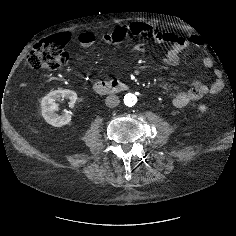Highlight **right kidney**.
<instances>
[{
  "instance_id": "right-kidney-1",
  "label": "right kidney",
  "mask_w": 236,
  "mask_h": 236,
  "mask_svg": "<svg viewBox=\"0 0 236 236\" xmlns=\"http://www.w3.org/2000/svg\"><path fill=\"white\" fill-rule=\"evenodd\" d=\"M69 99V107H73L76 100L77 94L74 91L63 89L55 90L47 94L41 100L42 116L45 121L55 127H61L71 122V115L66 113L58 115L55 111L58 110V104L56 101L60 99Z\"/></svg>"
}]
</instances>
